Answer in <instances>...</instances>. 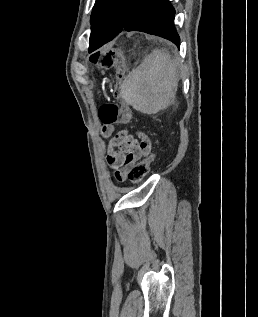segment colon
<instances>
[{
    "label": "colon",
    "mask_w": 258,
    "mask_h": 317,
    "mask_svg": "<svg viewBox=\"0 0 258 317\" xmlns=\"http://www.w3.org/2000/svg\"><path fill=\"white\" fill-rule=\"evenodd\" d=\"M90 60L100 68H109L114 63V53L111 51H98L90 56ZM124 74L121 69L118 72L116 84L114 87V95L120 96V89L123 82ZM99 118L104 124H112L117 121L130 123L132 120V112L130 110L123 111L116 103H107L100 107ZM156 158V153H150L142 161L138 162L130 168L127 173L129 180L133 183H139L147 176L152 163Z\"/></svg>",
    "instance_id": "5ec220e1"
}]
</instances>
